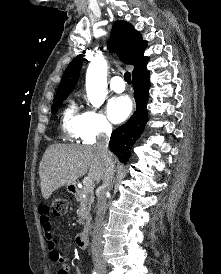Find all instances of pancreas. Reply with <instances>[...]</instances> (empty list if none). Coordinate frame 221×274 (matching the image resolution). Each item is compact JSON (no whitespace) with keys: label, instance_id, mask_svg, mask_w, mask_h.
Masks as SVG:
<instances>
[{"label":"pancreas","instance_id":"obj_1","mask_svg":"<svg viewBox=\"0 0 221 274\" xmlns=\"http://www.w3.org/2000/svg\"><path fill=\"white\" fill-rule=\"evenodd\" d=\"M82 195H85L83 198ZM78 201H80V207L79 211L77 213L79 217V223L83 224V220L87 217V215L90 212L91 204L94 201V194L91 189L84 188L80 193L78 197Z\"/></svg>","mask_w":221,"mask_h":274}]
</instances>
